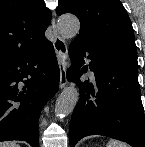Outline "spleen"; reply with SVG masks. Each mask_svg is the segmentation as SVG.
Returning <instances> with one entry per match:
<instances>
[{"label": "spleen", "mask_w": 145, "mask_h": 147, "mask_svg": "<svg viewBox=\"0 0 145 147\" xmlns=\"http://www.w3.org/2000/svg\"><path fill=\"white\" fill-rule=\"evenodd\" d=\"M106 147H126V145L122 142H119V141H110Z\"/></svg>", "instance_id": "3e777b00"}]
</instances>
